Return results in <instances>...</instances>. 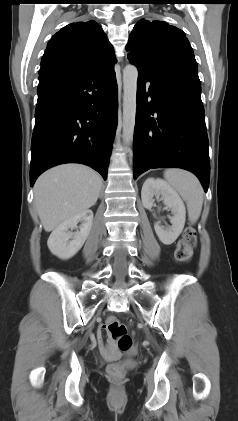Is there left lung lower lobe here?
I'll return each mask as SVG.
<instances>
[{"label": "left lung lower lobe", "instance_id": "1", "mask_svg": "<svg viewBox=\"0 0 238 421\" xmlns=\"http://www.w3.org/2000/svg\"><path fill=\"white\" fill-rule=\"evenodd\" d=\"M147 81L151 83L148 92ZM169 167L193 172L207 192L210 163L201 83L194 71L163 77L139 71L134 179L150 168Z\"/></svg>", "mask_w": 238, "mask_h": 421}]
</instances>
